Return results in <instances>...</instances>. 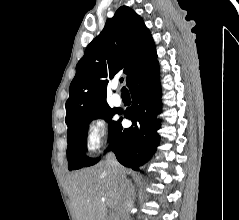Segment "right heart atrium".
Listing matches in <instances>:
<instances>
[{
  "label": "right heart atrium",
  "instance_id": "right-heart-atrium-1",
  "mask_svg": "<svg viewBox=\"0 0 239 220\" xmlns=\"http://www.w3.org/2000/svg\"><path fill=\"white\" fill-rule=\"evenodd\" d=\"M105 136V121L99 116L92 118L87 126L86 132V147L88 151L97 150L102 145Z\"/></svg>",
  "mask_w": 239,
  "mask_h": 220
}]
</instances>
